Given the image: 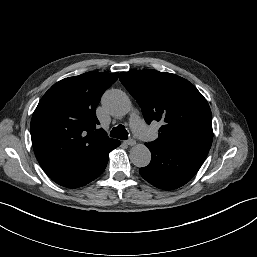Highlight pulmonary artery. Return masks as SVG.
<instances>
[{
    "label": "pulmonary artery",
    "instance_id": "obj_1",
    "mask_svg": "<svg viewBox=\"0 0 257 257\" xmlns=\"http://www.w3.org/2000/svg\"><path fill=\"white\" fill-rule=\"evenodd\" d=\"M130 125L134 133L140 135L143 131H146V125L137 113H133L130 116Z\"/></svg>",
    "mask_w": 257,
    "mask_h": 257
}]
</instances>
